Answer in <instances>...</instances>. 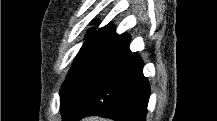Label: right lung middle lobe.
<instances>
[{
    "label": "right lung middle lobe",
    "mask_w": 217,
    "mask_h": 121,
    "mask_svg": "<svg viewBox=\"0 0 217 121\" xmlns=\"http://www.w3.org/2000/svg\"><path fill=\"white\" fill-rule=\"evenodd\" d=\"M117 37L113 25H106L99 30H96V28L90 29L87 39L77 54L73 66L61 87L60 94L72 86Z\"/></svg>",
    "instance_id": "obj_1"
}]
</instances>
